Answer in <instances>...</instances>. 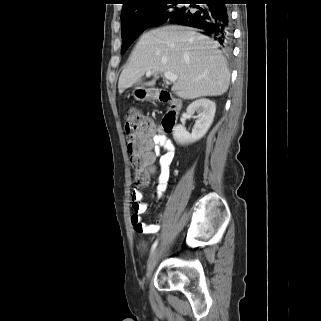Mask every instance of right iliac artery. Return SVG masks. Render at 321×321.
Masks as SVG:
<instances>
[{"label": "right iliac artery", "mask_w": 321, "mask_h": 321, "mask_svg": "<svg viewBox=\"0 0 321 321\" xmlns=\"http://www.w3.org/2000/svg\"><path fill=\"white\" fill-rule=\"evenodd\" d=\"M158 244V239L153 243L152 247H151V252H153L155 250V248L157 247Z\"/></svg>", "instance_id": "right-iliac-artery-1"}]
</instances>
